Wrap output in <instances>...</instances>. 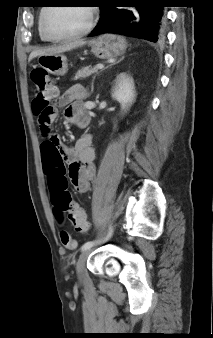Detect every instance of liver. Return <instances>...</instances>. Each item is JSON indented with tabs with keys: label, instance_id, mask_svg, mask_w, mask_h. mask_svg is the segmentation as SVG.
<instances>
[{
	"label": "liver",
	"instance_id": "liver-1",
	"mask_svg": "<svg viewBox=\"0 0 213 338\" xmlns=\"http://www.w3.org/2000/svg\"><path fill=\"white\" fill-rule=\"evenodd\" d=\"M86 42L85 41H75L72 43H68L65 45H60V46H52V47H47L44 49H39V50H35L32 51L29 55V61H31L32 59L42 56V55H55V54H60L66 51H70L72 49H75L77 47H80L82 45H84Z\"/></svg>",
	"mask_w": 213,
	"mask_h": 338
}]
</instances>
